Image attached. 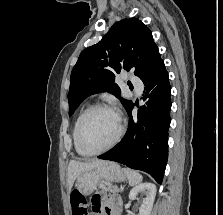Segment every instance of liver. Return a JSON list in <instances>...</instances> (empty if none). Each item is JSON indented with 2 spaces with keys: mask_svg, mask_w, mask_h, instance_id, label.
<instances>
[{
  "mask_svg": "<svg viewBox=\"0 0 223 215\" xmlns=\"http://www.w3.org/2000/svg\"><path fill=\"white\" fill-rule=\"evenodd\" d=\"M104 159H92V161H76V159H70L68 165V193L71 191V187L77 179L80 173L83 171H90V169H94V167H98L103 163Z\"/></svg>",
  "mask_w": 223,
  "mask_h": 215,
  "instance_id": "obj_1",
  "label": "liver"
}]
</instances>
